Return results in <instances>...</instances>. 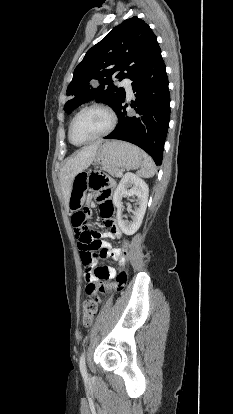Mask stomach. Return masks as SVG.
Returning a JSON list of instances; mask_svg holds the SVG:
<instances>
[{"label":"stomach","instance_id":"stomach-1","mask_svg":"<svg viewBox=\"0 0 233 414\" xmlns=\"http://www.w3.org/2000/svg\"><path fill=\"white\" fill-rule=\"evenodd\" d=\"M106 171L137 169L143 164L142 151L122 141H101L95 158ZM87 171L76 172L71 186L69 208L76 209L83 204L87 183Z\"/></svg>","mask_w":233,"mask_h":414}]
</instances>
